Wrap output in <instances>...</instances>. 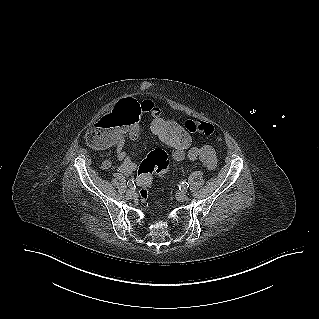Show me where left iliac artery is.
I'll return each mask as SVG.
<instances>
[{"label": "left iliac artery", "mask_w": 319, "mask_h": 319, "mask_svg": "<svg viewBox=\"0 0 319 319\" xmlns=\"http://www.w3.org/2000/svg\"><path fill=\"white\" fill-rule=\"evenodd\" d=\"M189 187V184L187 182H182L179 184V189L180 190H185Z\"/></svg>", "instance_id": "obj_1"}]
</instances>
